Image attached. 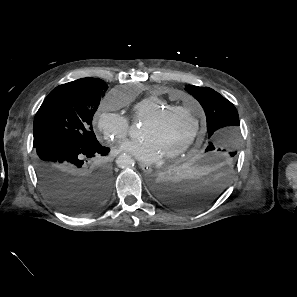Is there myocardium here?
Here are the masks:
<instances>
[{
    "mask_svg": "<svg viewBox=\"0 0 297 297\" xmlns=\"http://www.w3.org/2000/svg\"><path fill=\"white\" fill-rule=\"evenodd\" d=\"M175 112H183L189 114L194 122V128L189 138L178 148L166 153L165 159H174L185 153L197 140L201 133V122L198 112L187 106H170L157 112L155 115L145 120L147 124H155L163 120L166 116Z\"/></svg>",
    "mask_w": 297,
    "mask_h": 297,
    "instance_id": "1",
    "label": "myocardium"
}]
</instances>
